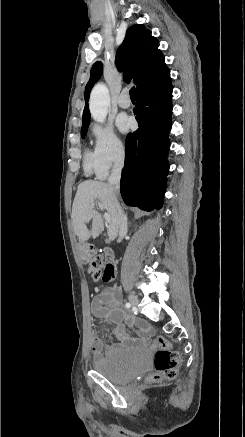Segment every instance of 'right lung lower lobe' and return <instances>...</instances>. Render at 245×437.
I'll return each mask as SVG.
<instances>
[{"mask_svg": "<svg viewBox=\"0 0 245 437\" xmlns=\"http://www.w3.org/2000/svg\"><path fill=\"white\" fill-rule=\"evenodd\" d=\"M172 108L171 81L136 93L134 114L139 128L126 138L120 190L129 206L145 211L162 208Z\"/></svg>", "mask_w": 245, "mask_h": 437, "instance_id": "1", "label": "right lung lower lobe"}]
</instances>
